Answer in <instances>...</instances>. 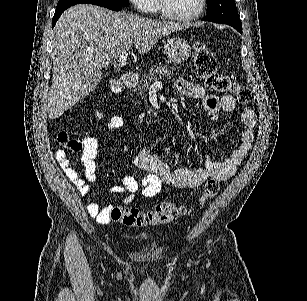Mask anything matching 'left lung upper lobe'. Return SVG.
Masks as SVG:
<instances>
[{
    "label": "left lung upper lobe",
    "mask_w": 307,
    "mask_h": 301,
    "mask_svg": "<svg viewBox=\"0 0 307 301\" xmlns=\"http://www.w3.org/2000/svg\"><path fill=\"white\" fill-rule=\"evenodd\" d=\"M208 15L206 21L228 24L239 30L242 23L238 16L234 0H207Z\"/></svg>",
    "instance_id": "left-lung-upper-lobe-1"
}]
</instances>
